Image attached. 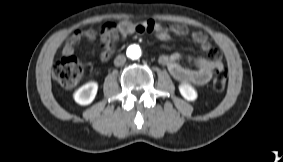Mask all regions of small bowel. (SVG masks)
Returning a JSON list of instances; mask_svg holds the SVG:
<instances>
[{
	"label": "small bowel",
	"mask_w": 283,
	"mask_h": 162,
	"mask_svg": "<svg viewBox=\"0 0 283 162\" xmlns=\"http://www.w3.org/2000/svg\"><path fill=\"white\" fill-rule=\"evenodd\" d=\"M143 33H152L162 41L170 40L172 34L178 36H190L204 52L209 54V57L189 58L194 62V68L180 63L183 55L179 52L159 56V63L165 66L170 74L180 82L204 85L210 81L216 69L223 68L219 50L212 49L208 36L204 32L190 31L187 26L182 24L167 25L154 20L140 22L122 20L116 24H109L99 36L103 45V49L100 53L101 60H109L113 53V44L121 37L124 38L131 34ZM96 38L97 33L93 29L77 30L65 43L63 47V54L65 56L72 55L74 53L75 46L82 39L93 41Z\"/></svg>",
	"instance_id": "c3829d8e"
}]
</instances>
